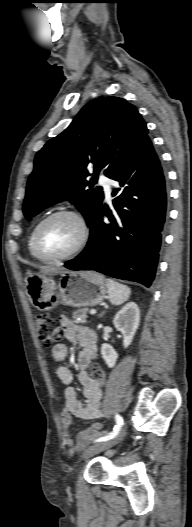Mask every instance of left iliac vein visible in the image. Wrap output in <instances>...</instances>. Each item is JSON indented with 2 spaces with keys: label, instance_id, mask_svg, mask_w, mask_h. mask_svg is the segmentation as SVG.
<instances>
[{
  "label": "left iliac vein",
  "instance_id": "1",
  "mask_svg": "<svg viewBox=\"0 0 192 527\" xmlns=\"http://www.w3.org/2000/svg\"><path fill=\"white\" fill-rule=\"evenodd\" d=\"M125 435V428L122 427L120 429V431L118 432V434L110 439V440H107V441H103V442H99V443H96L94 444L93 446L89 447L88 449H86L82 455V458L83 459H88L114 445H116L117 443H119L123 437Z\"/></svg>",
  "mask_w": 192,
  "mask_h": 527
}]
</instances>
